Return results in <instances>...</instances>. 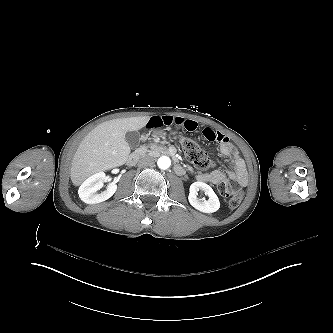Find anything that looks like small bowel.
Segmentation results:
<instances>
[{"label":"small bowel","mask_w":333,"mask_h":333,"mask_svg":"<svg viewBox=\"0 0 333 333\" xmlns=\"http://www.w3.org/2000/svg\"><path fill=\"white\" fill-rule=\"evenodd\" d=\"M167 125L179 126L191 132L196 131L199 127L198 122L193 118L169 116L153 117L147 122L146 125H144L143 128L147 131L149 128H157ZM203 136L207 140L214 139V141L220 142L221 153L231 161L232 169L228 170L227 172L214 170L209 173H201L197 175V179L203 182H208L214 186H218L227 180H231L241 187L246 186L248 183V177L245 162L234 145L228 140V138L225 137L221 132L211 127H206L203 129Z\"/></svg>","instance_id":"1"}]
</instances>
